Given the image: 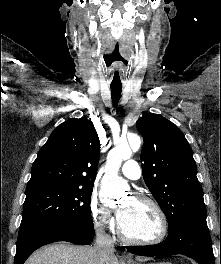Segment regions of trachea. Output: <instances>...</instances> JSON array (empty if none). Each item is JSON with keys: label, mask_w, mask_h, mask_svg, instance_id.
<instances>
[{"label": "trachea", "mask_w": 221, "mask_h": 264, "mask_svg": "<svg viewBox=\"0 0 221 264\" xmlns=\"http://www.w3.org/2000/svg\"><path fill=\"white\" fill-rule=\"evenodd\" d=\"M111 99L116 106L121 98L122 85H111Z\"/></svg>", "instance_id": "1"}]
</instances>
